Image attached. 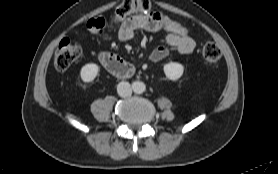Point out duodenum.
<instances>
[{"label": "duodenum", "instance_id": "1", "mask_svg": "<svg viewBox=\"0 0 278 174\" xmlns=\"http://www.w3.org/2000/svg\"><path fill=\"white\" fill-rule=\"evenodd\" d=\"M100 60L109 72L117 76H124L132 69L128 62L115 54L103 53L100 55Z\"/></svg>", "mask_w": 278, "mask_h": 174}]
</instances>
